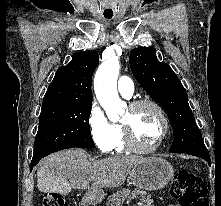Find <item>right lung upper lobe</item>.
I'll return each instance as SVG.
<instances>
[{"label":"right lung upper lobe","instance_id":"cb5924a9","mask_svg":"<svg viewBox=\"0 0 221 206\" xmlns=\"http://www.w3.org/2000/svg\"><path fill=\"white\" fill-rule=\"evenodd\" d=\"M98 63L96 51L73 55L68 65L57 70L44 96L42 109L92 105L91 81Z\"/></svg>","mask_w":221,"mask_h":206}]
</instances>
